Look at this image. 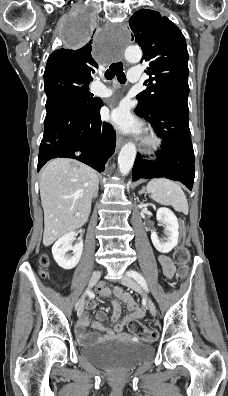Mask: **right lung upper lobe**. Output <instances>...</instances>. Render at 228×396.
<instances>
[{
    "label": "right lung upper lobe",
    "mask_w": 228,
    "mask_h": 396,
    "mask_svg": "<svg viewBox=\"0 0 228 396\" xmlns=\"http://www.w3.org/2000/svg\"><path fill=\"white\" fill-rule=\"evenodd\" d=\"M92 40L79 49H58L48 58L44 76L75 75L92 81L98 65L92 57Z\"/></svg>",
    "instance_id": "1"
}]
</instances>
